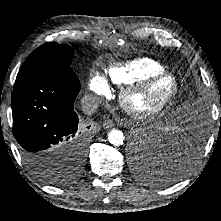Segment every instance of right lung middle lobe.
Returning <instances> with one entry per match:
<instances>
[{
	"label": "right lung middle lobe",
	"instance_id": "dd1d6c3e",
	"mask_svg": "<svg viewBox=\"0 0 221 221\" xmlns=\"http://www.w3.org/2000/svg\"><path fill=\"white\" fill-rule=\"evenodd\" d=\"M73 52L70 46L63 44L46 43L39 46L24 62L16 77L14 90L40 76L63 73L75 74L69 67ZM47 178L51 182H60L55 178Z\"/></svg>",
	"mask_w": 221,
	"mask_h": 221
}]
</instances>
